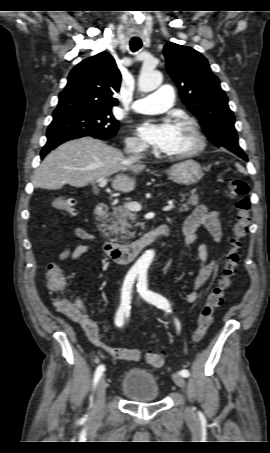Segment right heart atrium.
Wrapping results in <instances>:
<instances>
[{"mask_svg": "<svg viewBox=\"0 0 270 453\" xmlns=\"http://www.w3.org/2000/svg\"><path fill=\"white\" fill-rule=\"evenodd\" d=\"M126 148L135 152H144L147 149V146L137 137H128L126 139Z\"/></svg>", "mask_w": 270, "mask_h": 453, "instance_id": "right-heart-atrium-1", "label": "right heart atrium"}]
</instances>
